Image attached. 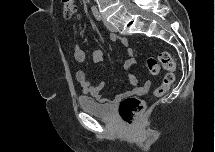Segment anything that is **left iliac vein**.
<instances>
[{"instance_id": "obj_1", "label": "left iliac vein", "mask_w": 215, "mask_h": 152, "mask_svg": "<svg viewBox=\"0 0 215 152\" xmlns=\"http://www.w3.org/2000/svg\"><path fill=\"white\" fill-rule=\"evenodd\" d=\"M102 20L105 24V26L112 32H117V28L110 22H108L105 17L102 15Z\"/></svg>"}]
</instances>
